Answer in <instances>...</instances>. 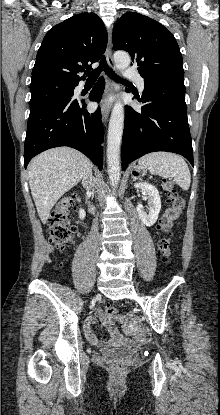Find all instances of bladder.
Returning <instances> with one entry per match:
<instances>
[{"label": "bladder", "mask_w": 220, "mask_h": 415, "mask_svg": "<svg viewBox=\"0 0 220 415\" xmlns=\"http://www.w3.org/2000/svg\"><path fill=\"white\" fill-rule=\"evenodd\" d=\"M144 347H122V348H113L106 352V355L115 358V359H127L131 358L137 353L141 352Z\"/></svg>", "instance_id": "31cf9c89"}]
</instances>
